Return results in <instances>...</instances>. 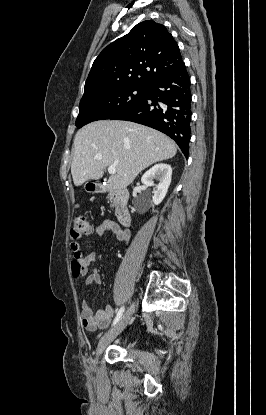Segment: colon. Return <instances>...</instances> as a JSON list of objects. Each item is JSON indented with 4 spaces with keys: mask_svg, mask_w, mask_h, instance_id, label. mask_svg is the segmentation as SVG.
<instances>
[{
    "mask_svg": "<svg viewBox=\"0 0 266 415\" xmlns=\"http://www.w3.org/2000/svg\"><path fill=\"white\" fill-rule=\"evenodd\" d=\"M91 232L92 225L85 216L78 215L74 217L71 229V236L73 238L88 236L91 234ZM73 271L75 275H79L81 273V264L77 258H75L73 262Z\"/></svg>",
    "mask_w": 266,
    "mask_h": 415,
    "instance_id": "colon-1",
    "label": "colon"
}]
</instances>
